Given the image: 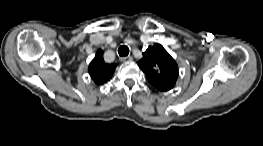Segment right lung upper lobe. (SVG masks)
<instances>
[{
    "label": "right lung upper lobe",
    "mask_w": 263,
    "mask_h": 146,
    "mask_svg": "<svg viewBox=\"0 0 263 146\" xmlns=\"http://www.w3.org/2000/svg\"><path fill=\"white\" fill-rule=\"evenodd\" d=\"M116 66L117 64L105 63L103 51L99 49L88 67V72L94 82L99 85L107 82L112 77Z\"/></svg>",
    "instance_id": "1"
}]
</instances>
